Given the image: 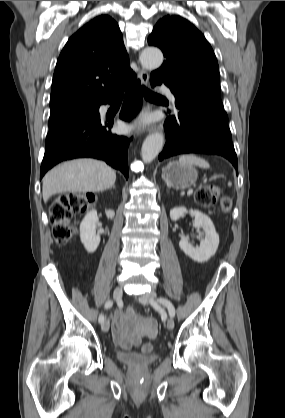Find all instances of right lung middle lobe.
<instances>
[{"instance_id":"1","label":"right lung middle lobe","mask_w":285,"mask_h":418,"mask_svg":"<svg viewBox=\"0 0 285 418\" xmlns=\"http://www.w3.org/2000/svg\"><path fill=\"white\" fill-rule=\"evenodd\" d=\"M99 106L100 104L71 103L52 107L50 108L49 130L73 120L94 117L99 114Z\"/></svg>"}]
</instances>
